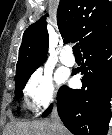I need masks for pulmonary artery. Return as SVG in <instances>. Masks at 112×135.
Wrapping results in <instances>:
<instances>
[{
  "label": "pulmonary artery",
  "mask_w": 112,
  "mask_h": 135,
  "mask_svg": "<svg viewBox=\"0 0 112 135\" xmlns=\"http://www.w3.org/2000/svg\"><path fill=\"white\" fill-rule=\"evenodd\" d=\"M60 61L66 66H73L75 64V57L70 46L67 45L61 49Z\"/></svg>",
  "instance_id": "pulmonary-artery-1"
}]
</instances>
